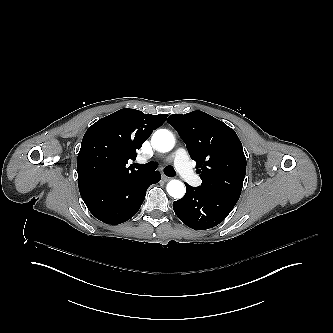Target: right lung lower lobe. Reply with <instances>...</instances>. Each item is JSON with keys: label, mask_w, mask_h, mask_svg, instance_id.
<instances>
[{"label": "right lung lower lobe", "mask_w": 333, "mask_h": 333, "mask_svg": "<svg viewBox=\"0 0 333 333\" xmlns=\"http://www.w3.org/2000/svg\"><path fill=\"white\" fill-rule=\"evenodd\" d=\"M160 179L157 171H136L114 179L100 176L78 180V187L87 208L98 220L120 224L137 213L147 188Z\"/></svg>", "instance_id": "right-lung-lower-lobe-1"}]
</instances>
